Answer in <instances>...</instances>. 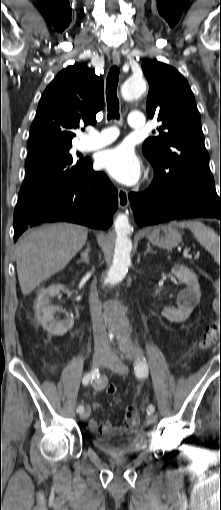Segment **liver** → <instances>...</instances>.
Instances as JSON below:
<instances>
[{"label": "liver", "mask_w": 221, "mask_h": 510, "mask_svg": "<svg viewBox=\"0 0 221 510\" xmlns=\"http://www.w3.org/2000/svg\"><path fill=\"white\" fill-rule=\"evenodd\" d=\"M87 228L70 223L44 225L23 234L16 244V264L23 295L64 269L87 240Z\"/></svg>", "instance_id": "obj_1"}]
</instances>
